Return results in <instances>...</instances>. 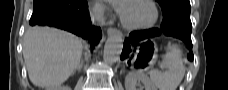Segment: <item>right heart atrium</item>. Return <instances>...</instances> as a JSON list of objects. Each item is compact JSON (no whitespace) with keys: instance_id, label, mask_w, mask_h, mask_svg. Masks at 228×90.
<instances>
[{"instance_id":"1","label":"right heart atrium","mask_w":228,"mask_h":90,"mask_svg":"<svg viewBox=\"0 0 228 90\" xmlns=\"http://www.w3.org/2000/svg\"><path fill=\"white\" fill-rule=\"evenodd\" d=\"M92 11L96 16H103L105 10L99 3H94L92 5Z\"/></svg>"}]
</instances>
